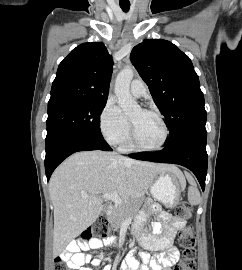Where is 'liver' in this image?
<instances>
[{
  "mask_svg": "<svg viewBox=\"0 0 242 270\" xmlns=\"http://www.w3.org/2000/svg\"><path fill=\"white\" fill-rule=\"evenodd\" d=\"M163 172L182 175L173 165L133 160L115 152L94 150L71 155L49 182L54 206V252L60 253L96 221L103 210L101 194L116 191L125 201H139Z\"/></svg>",
  "mask_w": 242,
  "mask_h": 270,
  "instance_id": "1",
  "label": "liver"
}]
</instances>
